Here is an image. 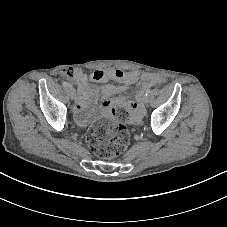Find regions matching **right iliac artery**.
Returning a JSON list of instances; mask_svg holds the SVG:
<instances>
[{
  "instance_id": "right-iliac-artery-1",
  "label": "right iliac artery",
  "mask_w": 227,
  "mask_h": 227,
  "mask_svg": "<svg viewBox=\"0 0 227 227\" xmlns=\"http://www.w3.org/2000/svg\"><path fill=\"white\" fill-rule=\"evenodd\" d=\"M62 85L64 86V87H72L68 82H66V81H64L63 83H62Z\"/></svg>"
}]
</instances>
